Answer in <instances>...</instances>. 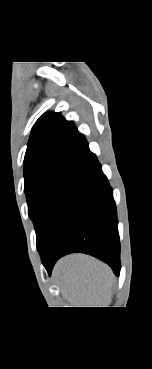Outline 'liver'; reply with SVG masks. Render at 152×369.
I'll return each mask as SVG.
<instances>
[{
    "label": "liver",
    "instance_id": "6515ba94",
    "mask_svg": "<svg viewBox=\"0 0 152 369\" xmlns=\"http://www.w3.org/2000/svg\"><path fill=\"white\" fill-rule=\"evenodd\" d=\"M65 298L76 307H108L111 303L115 277L103 262L84 255H68L54 267ZM96 305V306H83Z\"/></svg>",
    "mask_w": 152,
    "mask_h": 369
}]
</instances>
